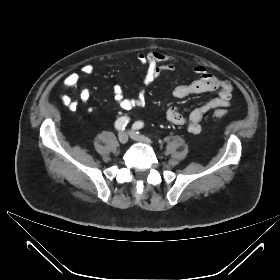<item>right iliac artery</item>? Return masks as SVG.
Listing matches in <instances>:
<instances>
[{
	"instance_id": "82829eb1",
	"label": "right iliac artery",
	"mask_w": 280,
	"mask_h": 280,
	"mask_svg": "<svg viewBox=\"0 0 280 280\" xmlns=\"http://www.w3.org/2000/svg\"><path fill=\"white\" fill-rule=\"evenodd\" d=\"M130 118L127 116H122L115 121V128L118 131H122L125 129L127 124L129 123Z\"/></svg>"
}]
</instances>
